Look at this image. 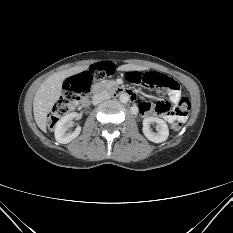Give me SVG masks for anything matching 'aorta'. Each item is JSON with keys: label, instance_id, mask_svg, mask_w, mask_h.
I'll list each match as a JSON object with an SVG mask.
<instances>
[{"label": "aorta", "instance_id": "1", "mask_svg": "<svg viewBox=\"0 0 233 233\" xmlns=\"http://www.w3.org/2000/svg\"><path fill=\"white\" fill-rule=\"evenodd\" d=\"M129 99H130V96L128 93H121L119 96V100L122 103H127L129 101Z\"/></svg>", "mask_w": 233, "mask_h": 233}]
</instances>
